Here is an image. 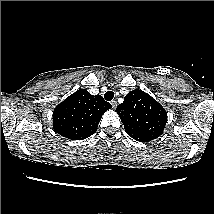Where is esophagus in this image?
I'll use <instances>...</instances> for the list:
<instances>
[{"instance_id": "1", "label": "esophagus", "mask_w": 214, "mask_h": 214, "mask_svg": "<svg viewBox=\"0 0 214 214\" xmlns=\"http://www.w3.org/2000/svg\"><path fill=\"white\" fill-rule=\"evenodd\" d=\"M110 103L114 109L117 107V101L116 100H112Z\"/></svg>"}]
</instances>
